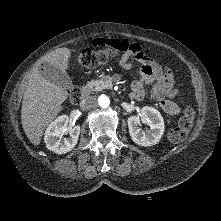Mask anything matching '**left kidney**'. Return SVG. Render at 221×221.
Segmentation results:
<instances>
[{
  "label": "left kidney",
  "mask_w": 221,
  "mask_h": 221,
  "mask_svg": "<svg viewBox=\"0 0 221 221\" xmlns=\"http://www.w3.org/2000/svg\"><path fill=\"white\" fill-rule=\"evenodd\" d=\"M141 121L150 126L149 130L143 131ZM129 133L132 140L141 146L157 144L164 133V120L160 112L149 106H144L139 115L131 116L127 120Z\"/></svg>",
  "instance_id": "5707ae66"
}]
</instances>
